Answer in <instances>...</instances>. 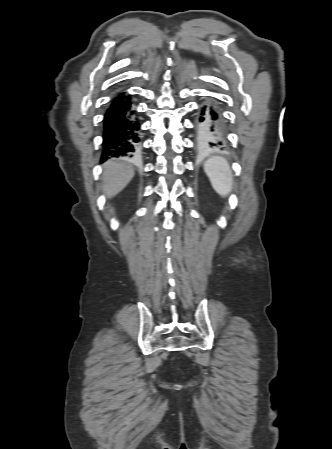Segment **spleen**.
I'll return each mask as SVG.
<instances>
[{"label":"spleen","mask_w":332,"mask_h":449,"mask_svg":"<svg viewBox=\"0 0 332 449\" xmlns=\"http://www.w3.org/2000/svg\"><path fill=\"white\" fill-rule=\"evenodd\" d=\"M204 171L210 179L212 187L221 196H227L233 185L230 165L223 157H212L204 163Z\"/></svg>","instance_id":"obj_1"}]
</instances>
